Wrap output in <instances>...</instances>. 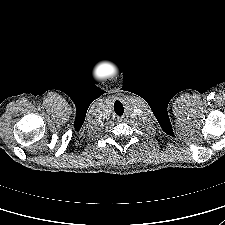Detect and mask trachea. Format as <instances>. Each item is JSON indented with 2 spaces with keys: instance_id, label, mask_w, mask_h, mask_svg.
<instances>
[{
  "instance_id": "obj_1",
  "label": "trachea",
  "mask_w": 225,
  "mask_h": 225,
  "mask_svg": "<svg viewBox=\"0 0 225 225\" xmlns=\"http://www.w3.org/2000/svg\"><path fill=\"white\" fill-rule=\"evenodd\" d=\"M114 111L117 115L121 116L124 113V107L121 102L115 101L114 103Z\"/></svg>"
}]
</instances>
